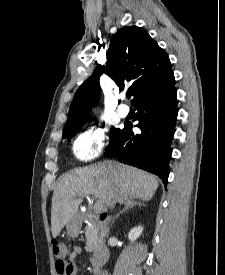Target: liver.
Listing matches in <instances>:
<instances>
[{"label": "liver", "mask_w": 225, "mask_h": 275, "mask_svg": "<svg viewBox=\"0 0 225 275\" xmlns=\"http://www.w3.org/2000/svg\"><path fill=\"white\" fill-rule=\"evenodd\" d=\"M118 187L119 202L129 204L134 199L151 200L158 188L157 177L118 162L104 161L62 176L53 192L51 207L52 236L75 217L82 197L93 195L97 203L108 205Z\"/></svg>", "instance_id": "6515ba94"}]
</instances>
